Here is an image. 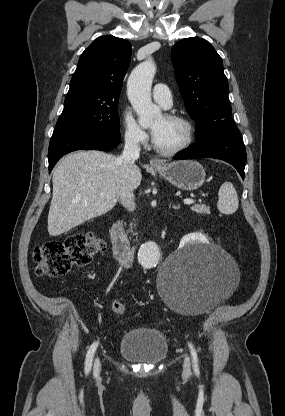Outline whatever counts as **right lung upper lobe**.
I'll return each mask as SVG.
<instances>
[{
    "label": "right lung upper lobe",
    "mask_w": 285,
    "mask_h": 416,
    "mask_svg": "<svg viewBox=\"0 0 285 416\" xmlns=\"http://www.w3.org/2000/svg\"><path fill=\"white\" fill-rule=\"evenodd\" d=\"M131 44L122 38L101 36L81 55L67 96L82 99L119 97L130 63Z\"/></svg>",
    "instance_id": "1"
}]
</instances>
